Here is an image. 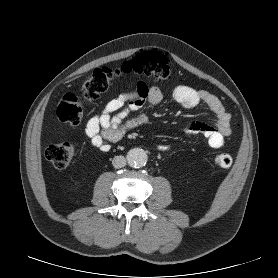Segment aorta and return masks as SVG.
I'll return each mask as SVG.
<instances>
[{
  "label": "aorta",
  "instance_id": "1",
  "mask_svg": "<svg viewBox=\"0 0 278 278\" xmlns=\"http://www.w3.org/2000/svg\"><path fill=\"white\" fill-rule=\"evenodd\" d=\"M127 161L132 168H141L146 165L148 156L141 148H133L127 153Z\"/></svg>",
  "mask_w": 278,
  "mask_h": 278
}]
</instances>
